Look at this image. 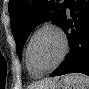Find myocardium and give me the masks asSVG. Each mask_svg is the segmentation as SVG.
Here are the masks:
<instances>
[{
    "mask_svg": "<svg viewBox=\"0 0 89 89\" xmlns=\"http://www.w3.org/2000/svg\"><path fill=\"white\" fill-rule=\"evenodd\" d=\"M45 29H50L52 31H54L60 38L61 40V52L60 55L58 57V59L56 60V62L51 65L50 67L43 69V70H35L32 66L31 63V59H30V49H31V45L33 43V40L35 39V37L43 30ZM68 51V39L64 33V31L58 27L57 25L53 24V23H44L41 26H39L31 35L28 44H27V48H26V64L28 66V68L30 69V71H32L34 74L36 75H44L46 73H49L50 71L54 70L56 67H58L64 60L66 54Z\"/></svg>",
    "mask_w": 89,
    "mask_h": 89,
    "instance_id": "myocardium-1",
    "label": "myocardium"
}]
</instances>
